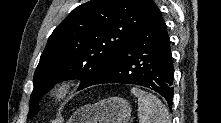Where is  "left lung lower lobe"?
Returning <instances> with one entry per match:
<instances>
[{
    "label": "left lung lower lobe",
    "instance_id": "0a47b994",
    "mask_svg": "<svg viewBox=\"0 0 221 123\" xmlns=\"http://www.w3.org/2000/svg\"><path fill=\"white\" fill-rule=\"evenodd\" d=\"M173 75L169 36L158 10L121 55L99 72L88 86L104 83L145 86L163 96L171 108Z\"/></svg>",
    "mask_w": 221,
    "mask_h": 123
}]
</instances>
